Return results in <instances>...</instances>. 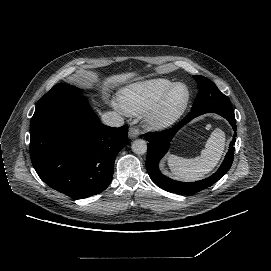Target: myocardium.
<instances>
[{
	"mask_svg": "<svg viewBox=\"0 0 271 271\" xmlns=\"http://www.w3.org/2000/svg\"><path fill=\"white\" fill-rule=\"evenodd\" d=\"M180 86L187 88L185 100L178 106L172 107L171 100L176 89ZM192 99V89L185 82H175L160 102L147 114L146 123L154 129H164L176 122L186 111Z\"/></svg>",
	"mask_w": 271,
	"mask_h": 271,
	"instance_id": "f54148a6",
	"label": "myocardium"
}]
</instances>
